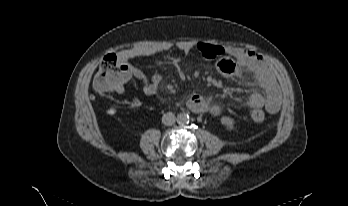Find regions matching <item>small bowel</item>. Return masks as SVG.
<instances>
[{
	"mask_svg": "<svg viewBox=\"0 0 348 206\" xmlns=\"http://www.w3.org/2000/svg\"><path fill=\"white\" fill-rule=\"evenodd\" d=\"M176 48L185 54L192 52L199 53L207 60H214L217 70L224 76H242L251 74L254 76L257 86L263 90V94L252 92L245 103L252 108H265L268 113L274 114L281 107V91L276 77L266 61L254 52L239 48H224L218 44L204 42L179 41ZM168 44L143 46L135 49L122 51L119 59L125 63L130 70L131 76L142 84L143 92L146 95H154L161 83L160 74L147 75L141 69L134 67L130 61L144 56H152L169 51ZM188 105L193 110L207 108V103L200 95H192ZM214 115H221L223 110L219 107H210Z\"/></svg>",
	"mask_w": 348,
	"mask_h": 206,
	"instance_id": "c3829d8e",
	"label": "small bowel"
}]
</instances>
